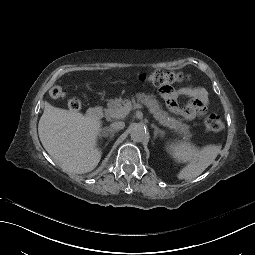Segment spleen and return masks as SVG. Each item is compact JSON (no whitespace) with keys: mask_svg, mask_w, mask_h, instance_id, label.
<instances>
[{"mask_svg":"<svg viewBox=\"0 0 255 255\" xmlns=\"http://www.w3.org/2000/svg\"><path fill=\"white\" fill-rule=\"evenodd\" d=\"M220 147L207 145L199 150L188 141L170 145L169 152L179 162H189L178 174L179 179L190 180L199 176L217 157Z\"/></svg>","mask_w":255,"mask_h":255,"instance_id":"3e777b00","label":"spleen"}]
</instances>
